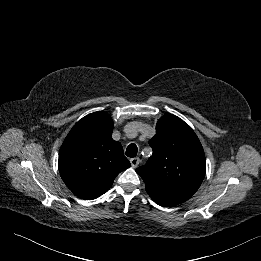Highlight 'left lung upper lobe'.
<instances>
[{"mask_svg": "<svg viewBox=\"0 0 261 261\" xmlns=\"http://www.w3.org/2000/svg\"><path fill=\"white\" fill-rule=\"evenodd\" d=\"M149 145L153 155L136 169L146 190L191 198L206 173L204 150L194 131L179 117L167 114L158 120Z\"/></svg>", "mask_w": 261, "mask_h": 261, "instance_id": "1", "label": "left lung upper lobe"}]
</instances>
